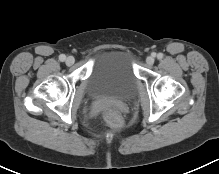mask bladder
<instances>
[{
	"instance_id": "bladder-1",
	"label": "bladder",
	"mask_w": 219,
	"mask_h": 174,
	"mask_svg": "<svg viewBox=\"0 0 219 174\" xmlns=\"http://www.w3.org/2000/svg\"><path fill=\"white\" fill-rule=\"evenodd\" d=\"M138 81L131 53L122 49H108L95 58L87 89L93 98L128 100L134 95Z\"/></svg>"
}]
</instances>
